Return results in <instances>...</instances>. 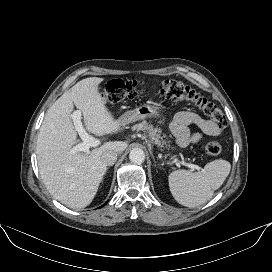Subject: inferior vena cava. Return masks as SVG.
<instances>
[{
    "mask_svg": "<svg viewBox=\"0 0 272 272\" xmlns=\"http://www.w3.org/2000/svg\"><path fill=\"white\" fill-rule=\"evenodd\" d=\"M101 160L105 165L111 166L117 160V152L112 150L105 151L101 156Z\"/></svg>",
    "mask_w": 272,
    "mask_h": 272,
    "instance_id": "1",
    "label": "inferior vena cava"
}]
</instances>
